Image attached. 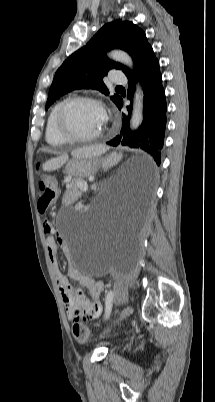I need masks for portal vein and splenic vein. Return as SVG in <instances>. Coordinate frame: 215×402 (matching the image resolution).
<instances>
[{"instance_id": "18ae733b", "label": "portal vein and splenic vein", "mask_w": 215, "mask_h": 402, "mask_svg": "<svg viewBox=\"0 0 215 402\" xmlns=\"http://www.w3.org/2000/svg\"><path fill=\"white\" fill-rule=\"evenodd\" d=\"M79 187L81 188V189H83L84 191H87V184L86 183H80L79 184Z\"/></svg>"}]
</instances>
